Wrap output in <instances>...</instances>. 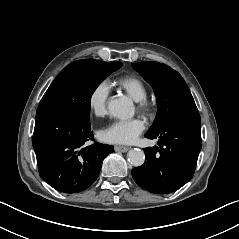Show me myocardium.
Instances as JSON below:
<instances>
[{
	"mask_svg": "<svg viewBox=\"0 0 239 239\" xmlns=\"http://www.w3.org/2000/svg\"><path fill=\"white\" fill-rule=\"evenodd\" d=\"M138 109L143 113L151 115L154 111V105L148 99L142 98L138 100Z\"/></svg>",
	"mask_w": 239,
	"mask_h": 239,
	"instance_id": "1",
	"label": "myocardium"
}]
</instances>
